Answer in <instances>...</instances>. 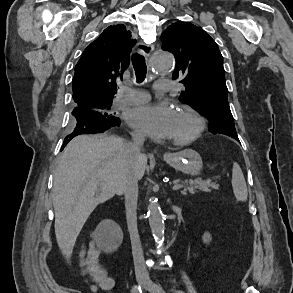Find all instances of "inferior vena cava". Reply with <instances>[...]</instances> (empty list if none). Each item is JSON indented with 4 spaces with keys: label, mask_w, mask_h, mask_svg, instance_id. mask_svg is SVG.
<instances>
[{
    "label": "inferior vena cava",
    "mask_w": 293,
    "mask_h": 293,
    "mask_svg": "<svg viewBox=\"0 0 293 293\" xmlns=\"http://www.w3.org/2000/svg\"><path fill=\"white\" fill-rule=\"evenodd\" d=\"M145 137L142 134L134 133L132 142L127 144V151L130 155L126 170L121 177L122 192L125 197V208L128 229L131 238L132 254L136 272H146L144 265L143 250L137 229V197H138V179L134 173L132 158L141 155V146L144 144Z\"/></svg>",
    "instance_id": "1"
}]
</instances>
